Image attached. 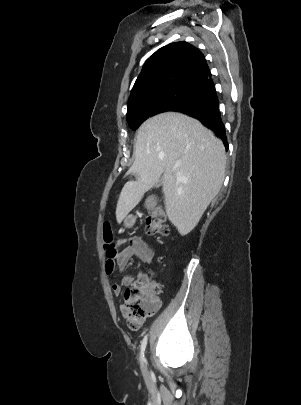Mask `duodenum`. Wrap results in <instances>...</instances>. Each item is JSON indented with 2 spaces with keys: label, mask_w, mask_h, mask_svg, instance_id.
Wrapping results in <instances>:
<instances>
[{
  "label": "duodenum",
  "mask_w": 301,
  "mask_h": 405,
  "mask_svg": "<svg viewBox=\"0 0 301 405\" xmlns=\"http://www.w3.org/2000/svg\"><path fill=\"white\" fill-rule=\"evenodd\" d=\"M149 201L146 203L152 210H154L155 208H157L159 206V201L157 200L155 195H150L149 196Z\"/></svg>",
  "instance_id": "duodenum-1"
}]
</instances>
